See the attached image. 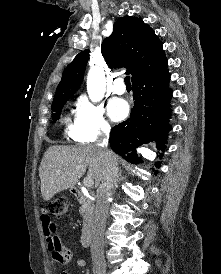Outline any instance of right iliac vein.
Masks as SVG:
<instances>
[{"label": "right iliac vein", "instance_id": "obj_1", "mask_svg": "<svg viewBox=\"0 0 221 274\" xmlns=\"http://www.w3.org/2000/svg\"><path fill=\"white\" fill-rule=\"evenodd\" d=\"M96 274H106V269L103 266L96 267Z\"/></svg>", "mask_w": 221, "mask_h": 274}]
</instances>
